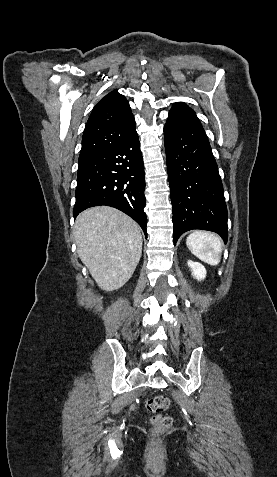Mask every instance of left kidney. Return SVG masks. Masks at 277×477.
<instances>
[{"instance_id": "obj_1", "label": "left kidney", "mask_w": 277, "mask_h": 477, "mask_svg": "<svg viewBox=\"0 0 277 477\" xmlns=\"http://www.w3.org/2000/svg\"><path fill=\"white\" fill-rule=\"evenodd\" d=\"M188 266L191 268L192 275L197 280H203L206 277V269L199 262L188 261Z\"/></svg>"}]
</instances>
